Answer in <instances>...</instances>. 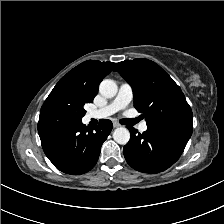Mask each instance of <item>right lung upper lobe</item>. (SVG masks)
<instances>
[{
    "mask_svg": "<svg viewBox=\"0 0 224 224\" xmlns=\"http://www.w3.org/2000/svg\"><path fill=\"white\" fill-rule=\"evenodd\" d=\"M114 65L112 62L88 60L73 68L60 81L80 90L93 101L100 82L111 72Z\"/></svg>",
    "mask_w": 224,
    "mask_h": 224,
    "instance_id": "obj_1",
    "label": "right lung upper lobe"
}]
</instances>
